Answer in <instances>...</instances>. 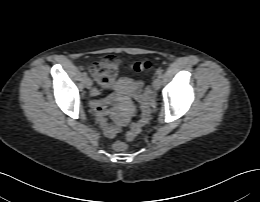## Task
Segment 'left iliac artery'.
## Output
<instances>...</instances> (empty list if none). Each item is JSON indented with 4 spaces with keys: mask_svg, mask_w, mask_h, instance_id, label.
I'll return each mask as SVG.
<instances>
[{
    "mask_svg": "<svg viewBox=\"0 0 260 202\" xmlns=\"http://www.w3.org/2000/svg\"><path fill=\"white\" fill-rule=\"evenodd\" d=\"M163 77V73L162 72H158V78H162Z\"/></svg>",
    "mask_w": 260,
    "mask_h": 202,
    "instance_id": "1",
    "label": "left iliac artery"
}]
</instances>
